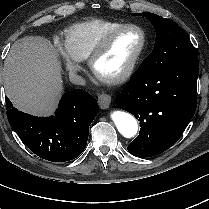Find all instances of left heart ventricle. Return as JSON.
<instances>
[{
    "label": "left heart ventricle",
    "instance_id": "left-heart-ventricle-1",
    "mask_svg": "<svg viewBox=\"0 0 209 209\" xmlns=\"http://www.w3.org/2000/svg\"><path fill=\"white\" fill-rule=\"evenodd\" d=\"M142 41L137 30H125L116 34L96 68L100 74L112 76L120 73L138 50Z\"/></svg>",
    "mask_w": 209,
    "mask_h": 209
}]
</instances>
